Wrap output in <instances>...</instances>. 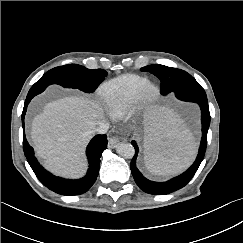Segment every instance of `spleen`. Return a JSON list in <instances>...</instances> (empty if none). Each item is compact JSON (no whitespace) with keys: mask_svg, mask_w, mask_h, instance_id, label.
Returning <instances> with one entry per match:
<instances>
[{"mask_svg":"<svg viewBox=\"0 0 243 243\" xmlns=\"http://www.w3.org/2000/svg\"><path fill=\"white\" fill-rule=\"evenodd\" d=\"M144 121V162L156 175H169L186 168L196 153V142L183 121L157 100L141 109Z\"/></svg>","mask_w":243,"mask_h":243,"instance_id":"obj_1","label":"spleen"}]
</instances>
